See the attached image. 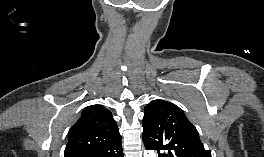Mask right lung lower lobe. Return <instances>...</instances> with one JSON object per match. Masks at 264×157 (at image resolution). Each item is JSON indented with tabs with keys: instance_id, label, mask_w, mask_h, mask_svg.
<instances>
[{
	"instance_id": "right-lung-lower-lobe-1",
	"label": "right lung lower lobe",
	"mask_w": 264,
	"mask_h": 157,
	"mask_svg": "<svg viewBox=\"0 0 264 157\" xmlns=\"http://www.w3.org/2000/svg\"><path fill=\"white\" fill-rule=\"evenodd\" d=\"M100 157H124L121 144L113 150L102 154Z\"/></svg>"
}]
</instances>
